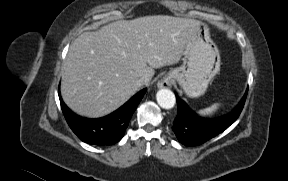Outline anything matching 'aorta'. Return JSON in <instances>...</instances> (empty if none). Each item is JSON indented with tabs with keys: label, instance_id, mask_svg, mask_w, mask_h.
Masks as SVG:
<instances>
[{
	"label": "aorta",
	"instance_id": "aorta-1",
	"mask_svg": "<svg viewBox=\"0 0 288 181\" xmlns=\"http://www.w3.org/2000/svg\"><path fill=\"white\" fill-rule=\"evenodd\" d=\"M156 100L160 107L171 109L174 107L176 99L174 93L169 89H160L156 94Z\"/></svg>",
	"mask_w": 288,
	"mask_h": 181
}]
</instances>
